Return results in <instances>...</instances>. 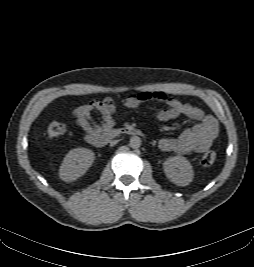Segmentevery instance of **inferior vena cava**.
<instances>
[{
    "mask_svg": "<svg viewBox=\"0 0 254 267\" xmlns=\"http://www.w3.org/2000/svg\"><path fill=\"white\" fill-rule=\"evenodd\" d=\"M117 143H118V140H113V141L110 142V146H114V145H116Z\"/></svg>",
    "mask_w": 254,
    "mask_h": 267,
    "instance_id": "602c4592",
    "label": "inferior vena cava"
}]
</instances>
